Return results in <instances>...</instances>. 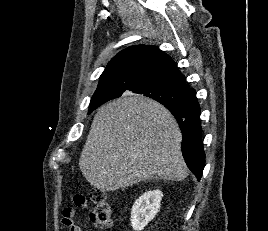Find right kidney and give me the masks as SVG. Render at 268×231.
Segmentation results:
<instances>
[{
	"mask_svg": "<svg viewBox=\"0 0 268 231\" xmlns=\"http://www.w3.org/2000/svg\"><path fill=\"white\" fill-rule=\"evenodd\" d=\"M163 193L153 190L144 193L134 203L131 210V226L135 231H141L160 211Z\"/></svg>",
	"mask_w": 268,
	"mask_h": 231,
	"instance_id": "obj_1",
	"label": "right kidney"
}]
</instances>
